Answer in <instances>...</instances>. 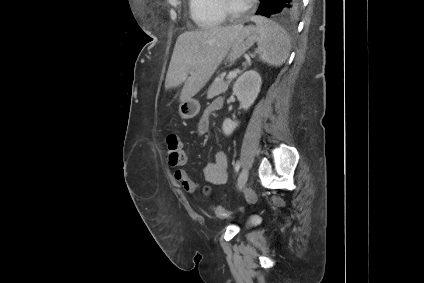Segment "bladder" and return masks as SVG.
Returning <instances> with one entry per match:
<instances>
[{
  "mask_svg": "<svg viewBox=\"0 0 424 283\" xmlns=\"http://www.w3.org/2000/svg\"><path fill=\"white\" fill-rule=\"evenodd\" d=\"M252 224V222H249V225H251Z\"/></svg>",
  "mask_w": 424,
  "mask_h": 283,
  "instance_id": "obj_1",
  "label": "bladder"
}]
</instances>
